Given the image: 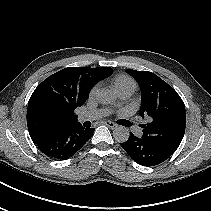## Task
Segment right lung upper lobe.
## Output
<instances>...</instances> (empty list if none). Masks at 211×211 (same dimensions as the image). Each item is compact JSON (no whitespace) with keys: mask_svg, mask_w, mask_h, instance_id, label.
I'll use <instances>...</instances> for the list:
<instances>
[{"mask_svg":"<svg viewBox=\"0 0 211 211\" xmlns=\"http://www.w3.org/2000/svg\"><path fill=\"white\" fill-rule=\"evenodd\" d=\"M111 73L110 67H68L41 82L27 108L32 141L38 142L58 129L79 124L75 109L87 100L91 88Z\"/></svg>","mask_w":211,"mask_h":211,"instance_id":"obj_1","label":"right lung upper lobe"}]
</instances>
